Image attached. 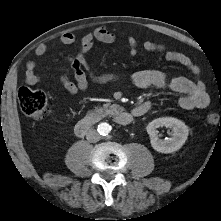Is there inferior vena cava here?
<instances>
[{"label": "inferior vena cava", "instance_id": "602c4592", "mask_svg": "<svg viewBox=\"0 0 221 221\" xmlns=\"http://www.w3.org/2000/svg\"><path fill=\"white\" fill-rule=\"evenodd\" d=\"M86 138L91 143H96L100 140V135L95 129H90L87 134Z\"/></svg>", "mask_w": 221, "mask_h": 221}]
</instances>
